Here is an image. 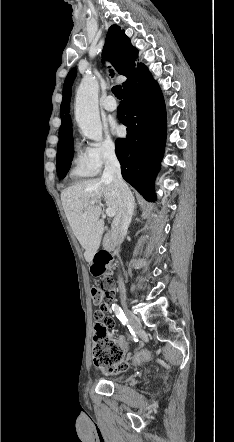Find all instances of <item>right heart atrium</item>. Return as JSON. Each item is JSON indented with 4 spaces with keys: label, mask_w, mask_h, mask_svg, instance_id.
I'll return each mask as SVG.
<instances>
[{
    "label": "right heart atrium",
    "mask_w": 234,
    "mask_h": 442,
    "mask_svg": "<svg viewBox=\"0 0 234 442\" xmlns=\"http://www.w3.org/2000/svg\"><path fill=\"white\" fill-rule=\"evenodd\" d=\"M90 159L99 171L105 164L112 161L117 154V146L113 139L106 138L88 147Z\"/></svg>",
    "instance_id": "d8ad5b80"
}]
</instances>
